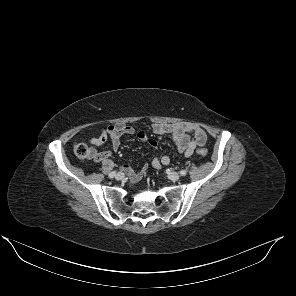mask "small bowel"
Masks as SVG:
<instances>
[{"label":"small bowel","instance_id":"1","mask_svg":"<svg viewBox=\"0 0 296 296\" xmlns=\"http://www.w3.org/2000/svg\"><path fill=\"white\" fill-rule=\"evenodd\" d=\"M152 132L157 135H168L171 137L177 151L183 154L185 157H189L193 154L197 147L204 146L206 142V133L204 130L192 123L177 122V123H155L152 125ZM123 135H137V137L149 143L152 147H157L158 143L150 139L148 134L141 130L137 131L135 127L125 123H119L115 125H109L101 130L99 136L89 139V143L93 146H100L108 139L111 141L113 152H117L121 146V137ZM111 151L95 152L92 159L97 162L105 161L111 156ZM171 162L169 156H162L161 158L155 157L152 160V166L159 170L162 166H167ZM144 167L141 171L137 172L130 165H123L122 170L127 174L131 182H137L141 179L145 173Z\"/></svg>","mask_w":296,"mask_h":296}]
</instances>
